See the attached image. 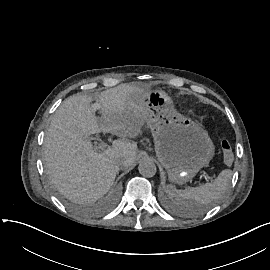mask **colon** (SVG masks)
Segmentation results:
<instances>
[{
    "mask_svg": "<svg viewBox=\"0 0 270 270\" xmlns=\"http://www.w3.org/2000/svg\"><path fill=\"white\" fill-rule=\"evenodd\" d=\"M220 144H221V147L223 148V151H224V154L222 156L223 164L226 166L233 165L235 162V156H234L233 151H232L231 143L228 140L223 139V140H221Z\"/></svg>",
    "mask_w": 270,
    "mask_h": 270,
    "instance_id": "colon-1",
    "label": "colon"
}]
</instances>
